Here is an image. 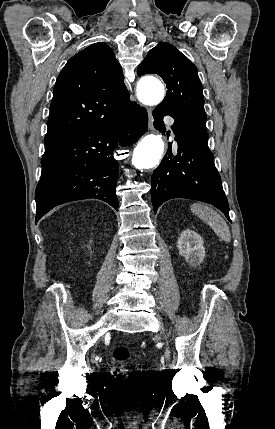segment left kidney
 <instances>
[{"mask_svg": "<svg viewBox=\"0 0 275 429\" xmlns=\"http://www.w3.org/2000/svg\"><path fill=\"white\" fill-rule=\"evenodd\" d=\"M203 239L199 234L191 229L181 232L178 239L179 254L183 256L190 266L196 267L205 257V248Z\"/></svg>", "mask_w": 275, "mask_h": 429, "instance_id": "5707ae66", "label": "left kidney"}]
</instances>
